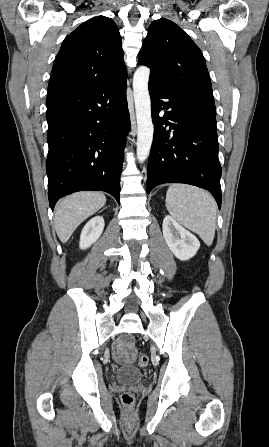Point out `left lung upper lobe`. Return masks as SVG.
<instances>
[{"label": "left lung upper lobe", "instance_id": "1", "mask_svg": "<svg viewBox=\"0 0 269 447\" xmlns=\"http://www.w3.org/2000/svg\"><path fill=\"white\" fill-rule=\"evenodd\" d=\"M138 58L151 69L149 81L186 97L200 112L216 116L204 56L178 25L164 18L153 21Z\"/></svg>", "mask_w": 269, "mask_h": 447}]
</instances>
